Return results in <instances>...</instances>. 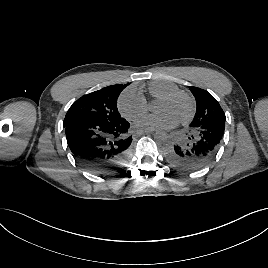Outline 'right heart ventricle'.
Masks as SVG:
<instances>
[{"instance_id": "obj_1", "label": "right heart ventricle", "mask_w": 268, "mask_h": 268, "mask_svg": "<svg viewBox=\"0 0 268 268\" xmlns=\"http://www.w3.org/2000/svg\"><path fill=\"white\" fill-rule=\"evenodd\" d=\"M178 86L170 80L156 79L151 81L146 88H141L139 93L144 97V93L147 92L151 101H156L165 94L177 90Z\"/></svg>"}]
</instances>
